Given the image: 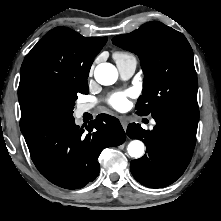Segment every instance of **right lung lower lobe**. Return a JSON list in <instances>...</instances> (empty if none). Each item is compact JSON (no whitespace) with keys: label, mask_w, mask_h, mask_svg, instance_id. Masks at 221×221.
Listing matches in <instances>:
<instances>
[{"label":"right lung lower lobe","mask_w":221,"mask_h":221,"mask_svg":"<svg viewBox=\"0 0 221 221\" xmlns=\"http://www.w3.org/2000/svg\"><path fill=\"white\" fill-rule=\"evenodd\" d=\"M39 172L53 184L77 189L99 174L102 150L124 143L126 134L113 116L100 114L82 127L74 117L38 120L22 131Z\"/></svg>","instance_id":"1"}]
</instances>
